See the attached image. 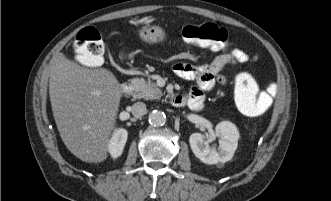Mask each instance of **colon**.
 <instances>
[{"label":"colon","instance_id":"5ec220e1","mask_svg":"<svg viewBox=\"0 0 331 201\" xmlns=\"http://www.w3.org/2000/svg\"><path fill=\"white\" fill-rule=\"evenodd\" d=\"M182 39L213 51L223 50L228 43V31L213 23L188 25L181 31ZM77 60L88 67L100 66L104 60V43L99 32L93 27L82 29L75 39ZM276 95V87L262 90L249 74L242 73L234 83V99L241 112L248 116L264 114Z\"/></svg>","mask_w":331,"mask_h":201}]
</instances>
